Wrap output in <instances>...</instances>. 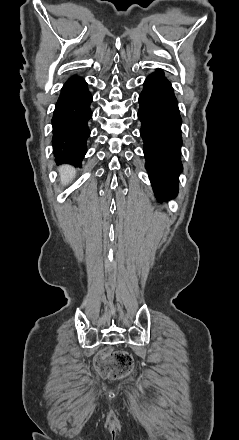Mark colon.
<instances>
[{"instance_id":"5ec220e1","label":"colon","mask_w":239,"mask_h":440,"mask_svg":"<svg viewBox=\"0 0 239 440\" xmlns=\"http://www.w3.org/2000/svg\"><path fill=\"white\" fill-rule=\"evenodd\" d=\"M98 372L112 379L126 376L133 368L132 356L124 351H107L96 359Z\"/></svg>"}]
</instances>
